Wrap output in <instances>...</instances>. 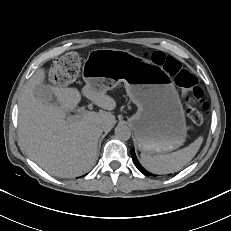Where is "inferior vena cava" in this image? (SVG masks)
I'll list each match as a JSON object with an SVG mask.
<instances>
[{"mask_svg":"<svg viewBox=\"0 0 231 231\" xmlns=\"http://www.w3.org/2000/svg\"><path fill=\"white\" fill-rule=\"evenodd\" d=\"M99 128H100V129H103V128H104V125H103V124H100V125H99Z\"/></svg>","mask_w":231,"mask_h":231,"instance_id":"inferior-vena-cava-1","label":"inferior vena cava"}]
</instances>
